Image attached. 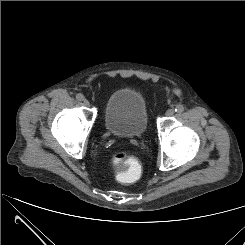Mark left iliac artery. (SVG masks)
<instances>
[{"mask_svg": "<svg viewBox=\"0 0 245 245\" xmlns=\"http://www.w3.org/2000/svg\"><path fill=\"white\" fill-rule=\"evenodd\" d=\"M184 111V106L183 105H177L175 108V112L177 113H182Z\"/></svg>", "mask_w": 245, "mask_h": 245, "instance_id": "44dca946", "label": "left iliac artery"}]
</instances>
